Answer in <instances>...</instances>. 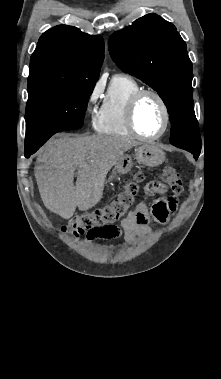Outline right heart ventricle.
I'll use <instances>...</instances> for the list:
<instances>
[{
  "instance_id": "right-heart-ventricle-1",
  "label": "right heart ventricle",
  "mask_w": 221,
  "mask_h": 379,
  "mask_svg": "<svg viewBox=\"0 0 221 379\" xmlns=\"http://www.w3.org/2000/svg\"><path fill=\"white\" fill-rule=\"evenodd\" d=\"M140 89L133 78L125 75L114 76L94 118L95 130L110 136H132L127 125L126 109L130 98Z\"/></svg>"
}]
</instances>
